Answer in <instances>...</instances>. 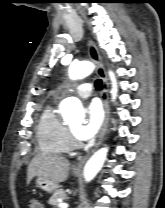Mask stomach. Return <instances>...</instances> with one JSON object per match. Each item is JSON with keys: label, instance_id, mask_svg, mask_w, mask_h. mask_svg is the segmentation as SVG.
Listing matches in <instances>:
<instances>
[{"label": "stomach", "instance_id": "1", "mask_svg": "<svg viewBox=\"0 0 165 208\" xmlns=\"http://www.w3.org/2000/svg\"><path fill=\"white\" fill-rule=\"evenodd\" d=\"M72 173L75 176H78L80 174V172L76 170H73ZM36 185L39 189L49 194L55 192L58 188L57 183L42 176H38V178L36 179Z\"/></svg>", "mask_w": 165, "mask_h": 208}]
</instances>
